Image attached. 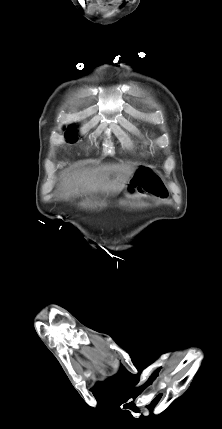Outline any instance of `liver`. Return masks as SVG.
Listing matches in <instances>:
<instances>
[{"mask_svg":"<svg viewBox=\"0 0 222 429\" xmlns=\"http://www.w3.org/2000/svg\"><path fill=\"white\" fill-rule=\"evenodd\" d=\"M135 167L129 164H102L94 168L67 170L61 175V197L72 194H119L130 181Z\"/></svg>","mask_w":222,"mask_h":429,"instance_id":"obj_1","label":"liver"}]
</instances>
